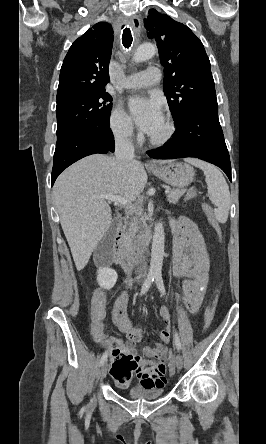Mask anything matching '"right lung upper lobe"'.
Wrapping results in <instances>:
<instances>
[{"label":"right lung upper lobe","mask_w":266,"mask_h":444,"mask_svg":"<svg viewBox=\"0 0 266 444\" xmlns=\"http://www.w3.org/2000/svg\"><path fill=\"white\" fill-rule=\"evenodd\" d=\"M113 30L100 22L71 45L61 67L57 99L67 95L104 89L109 81L108 65Z\"/></svg>","instance_id":"right-lung-upper-lobe-1"}]
</instances>
